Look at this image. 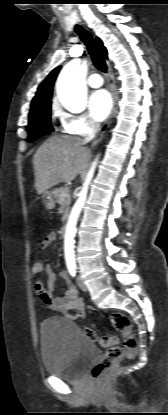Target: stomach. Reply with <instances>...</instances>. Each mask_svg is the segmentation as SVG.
Masks as SVG:
<instances>
[{"mask_svg":"<svg viewBox=\"0 0 168 415\" xmlns=\"http://www.w3.org/2000/svg\"><path fill=\"white\" fill-rule=\"evenodd\" d=\"M42 201L46 209L51 210L55 206V201L53 199L51 192H45L42 195Z\"/></svg>","mask_w":168,"mask_h":415,"instance_id":"1","label":"stomach"}]
</instances>
